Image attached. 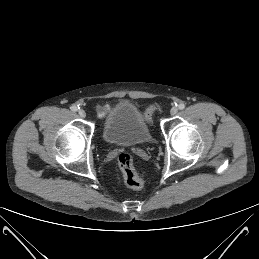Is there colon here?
<instances>
[{
    "mask_svg": "<svg viewBox=\"0 0 259 259\" xmlns=\"http://www.w3.org/2000/svg\"><path fill=\"white\" fill-rule=\"evenodd\" d=\"M158 109L156 104L150 105L146 111V117L151 120L153 113ZM118 166L122 172L124 181L129 187L139 190L144 186V180L135 168L134 159L128 152H122L117 158Z\"/></svg>",
    "mask_w": 259,
    "mask_h": 259,
    "instance_id": "1",
    "label": "colon"
}]
</instances>
